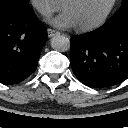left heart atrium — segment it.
Wrapping results in <instances>:
<instances>
[{
	"instance_id": "39dd6f15",
	"label": "left heart atrium",
	"mask_w": 128,
	"mask_h": 128,
	"mask_svg": "<svg viewBox=\"0 0 128 128\" xmlns=\"http://www.w3.org/2000/svg\"><path fill=\"white\" fill-rule=\"evenodd\" d=\"M55 27L67 29L76 26V22L68 11H63L58 16L49 20Z\"/></svg>"
}]
</instances>
